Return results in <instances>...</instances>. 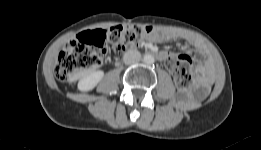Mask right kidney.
I'll list each match as a JSON object with an SVG mask.
<instances>
[{"label":"right kidney","instance_id":"1","mask_svg":"<svg viewBox=\"0 0 261 150\" xmlns=\"http://www.w3.org/2000/svg\"><path fill=\"white\" fill-rule=\"evenodd\" d=\"M104 72L94 71L87 75H85L83 78H81L78 82V89L83 92L90 91L96 87V85L100 82V80L103 78Z\"/></svg>","mask_w":261,"mask_h":150}]
</instances>
